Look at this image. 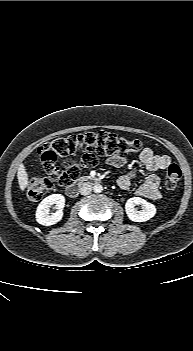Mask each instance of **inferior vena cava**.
<instances>
[{
    "mask_svg": "<svg viewBox=\"0 0 193 351\" xmlns=\"http://www.w3.org/2000/svg\"><path fill=\"white\" fill-rule=\"evenodd\" d=\"M91 191L92 186L87 182L83 183L79 188V192L81 193V195H88L91 193Z\"/></svg>",
    "mask_w": 193,
    "mask_h": 351,
    "instance_id": "1",
    "label": "inferior vena cava"
}]
</instances>
